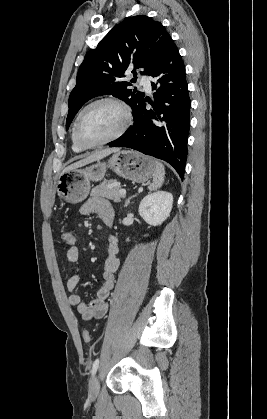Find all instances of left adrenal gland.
<instances>
[{"label": "left adrenal gland", "instance_id": "obj_1", "mask_svg": "<svg viewBox=\"0 0 267 419\" xmlns=\"http://www.w3.org/2000/svg\"><path fill=\"white\" fill-rule=\"evenodd\" d=\"M133 197H134V196H131V197H129V198L125 201L124 207H127V206H128V204H129L130 200H131Z\"/></svg>", "mask_w": 267, "mask_h": 419}]
</instances>
